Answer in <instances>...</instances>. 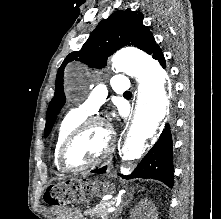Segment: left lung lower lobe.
I'll use <instances>...</instances> for the list:
<instances>
[{
	"label": "left lung lower lobe",
	"instance_id": "left-lung-lower-lobe-1",
	"mask_svg": "<svg viewBox=\"0 0 221 219\" xmlns=\"http://www.w3.org/2000/svg\"><path fill=\"white\" fill-rule=\"evenodd\" d=\"M152 57L159 61L160 65L165 68L166 62L159 46H156ZM107 167L93 170V173L102 174L106 172ZM174 168H173V147L170 127L167 124L162 131L158 141L147 153V155L138 164L137 168L128 176L121 177L126 179L132 178H152L162 181L169 187L174 185Z\"/></svg>",
	"mask_w": 221,
	"mask_h": 219
}]
</instances>
